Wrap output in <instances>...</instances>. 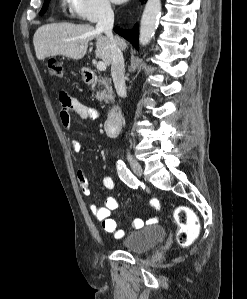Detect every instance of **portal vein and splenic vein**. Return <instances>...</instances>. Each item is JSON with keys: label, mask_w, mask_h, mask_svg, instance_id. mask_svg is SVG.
I'll use <instances>...</instances> for the list:
<instances>
[{"label": "portal vein and splenic vein", "mask_w": 247, "mask_h": 299, "mask_svg": "<svg viewBox=\"0 0 247 299\" xmlns=\"http://www.w3.org/2000/svg\"><path fill=\"white\" fill-rule=\"evenodd\" d=\"M96 67L99 71H105L106 70V64L104 62H98L96 64Z\"/></svg>", "instance_id": "1"}]
</instances>
